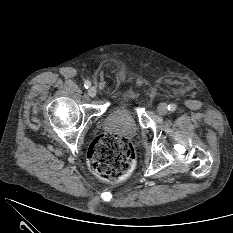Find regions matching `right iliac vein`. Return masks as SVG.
<instances>
[{"mask_svg": "<svg viewBox=\"0 0 233 233\" xmlns=\"http://www.w3.org/2000/svg\"><path fill=\"white\" fill-rule=\"evenodd\" d=\"M96 93H97V90H96L95 87H90V88L88 89V95H89L90 97H95V96H96Z\"/></svg>", "mask_w": 233, "mask_h": 233, "instance_id": "right-iliac-vein-1", "label": "right iliac vein"}]
</instances>
